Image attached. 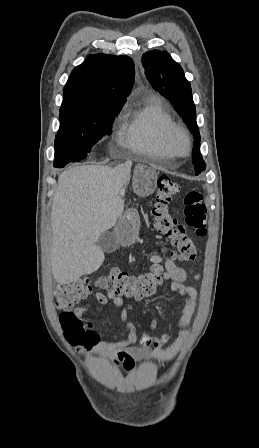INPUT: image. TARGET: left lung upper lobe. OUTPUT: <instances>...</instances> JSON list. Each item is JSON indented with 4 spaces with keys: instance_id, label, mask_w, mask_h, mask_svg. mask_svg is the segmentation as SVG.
<instances>
[{
    "instance_id": "5c2ea615",
    "label": "left lung upper lobe",
    "mask_w": 259,
    "mask_h": 448,
    "mask_svg": "<svg viewBox=\"0 0 259 448\" xmlns=\"http://www.w3.org/2000/svg\"><path fill=\"white\" fill-rule=\"evenodd\" d=\"M145 75L153 88L167 98L180 114L194 136L193 164L195 171L201 173L206 164L199 152L200 134L196 124V109L192 98L191 86L185 78L183 69L168 52L148 51L142 56Z\"/></svg>"
}]
</instances>
